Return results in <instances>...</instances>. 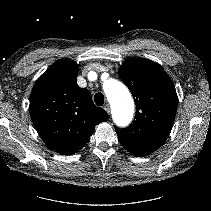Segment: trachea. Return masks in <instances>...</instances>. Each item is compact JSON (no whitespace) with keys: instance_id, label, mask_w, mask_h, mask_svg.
I'll use <instances>...</instances> for the list:
<instances>
[{"instance_id":"1","label":"trachea","mask_w":211,"mask_h":211,"mask_svg":"<svg viewBox=\"0 0 211 211\" xmlns=\"http://www.w3.org/2000/svg\"><path fill=\"white\" fill-rule=\"evenodd\" d=\"M94 101L96 103V105L98 106H103L104 104V95L100 92L96 93L94 95Z\"/></svg>"}]
</instances>
